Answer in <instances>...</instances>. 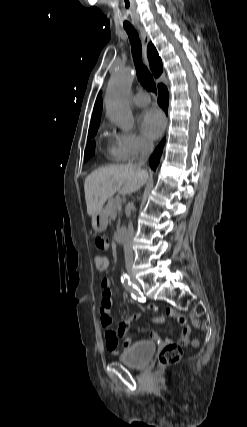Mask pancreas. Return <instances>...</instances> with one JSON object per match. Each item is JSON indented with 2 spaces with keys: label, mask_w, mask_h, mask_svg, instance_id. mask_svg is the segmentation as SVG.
Wrapping results in <instances>:
<instances>
[{
  "label": "pancreas",
  "mask_w": 247,
  "mask_h": 427,
  "mask_svg": "<svg viewBox=\"0 0 247 427\" xmlns=\"http://www.w3.org/2000/svg\"><path fill=\"white\" fill-rule=\"evenodd\" d=\"M104 211L107 216L114 218L117 212H121V202H118L117 198H110Z\"/></svg>",
  "instance_id": "1"
}]
</instances>
